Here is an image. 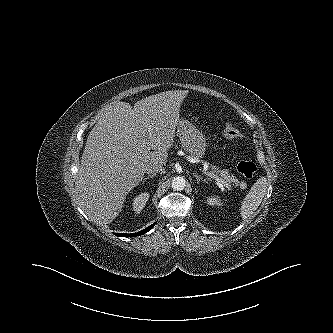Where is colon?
<instances>
[{
  "instance_id": "1",
  "label": "colon",
  "mask_w": 333,
  "mask_h": 333,
  "mask_svg": "<svg viewBox=\"0 0 333 333\" xmlns=\"http://www.w3.org/2000/svg\"><path fill=\"white\" fill-rule=\"evenodd\" d=\"M223 136L226 140H234L240 136L239 130L230 122L226 123L223 129ZM237 169L239 173L247 179H251L257 170L254 162L249 160H241Z\"/></svg>"
}]
</instances>
